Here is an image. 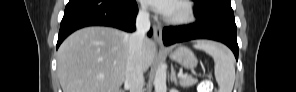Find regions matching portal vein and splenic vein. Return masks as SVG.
Instances as JSON below:
<instances>
[{
  "label": "portal vein and splenic vein",
  "mask_w": 296,
  "mask_h": 92,
  "mask_svg": "<svg viewBox=\"0 0 296 92\" xmlns=\"http://www.w3.org/2000/svg\"><path fill=\"white\" fill-rule=\"evenodd\" d=\"M187 76H188L187 74H183L182 72L178 73L179 78H184V77H187Z\"/></svg>",
  "instance_id": "obj_1"
}]
</instances>
